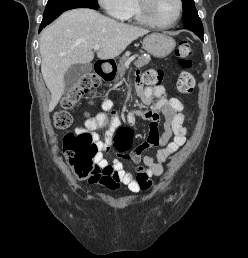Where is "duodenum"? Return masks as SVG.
<instances>
[{"instance_id":"1","label":"duodenum","mask_w":248,"mask_h":258,"mask_svg":"<svg viewBox=\"0 0 248 258\" xmlns=\"http://www.w3.org/2000/svg\"><path fill=\"white\" fill-rule=\"evenodd\" d=\"M95 73L100 79L106 81L111 80L113 76L110 65L102 60L95 62Z\"/></svg>"}]
</instances>
